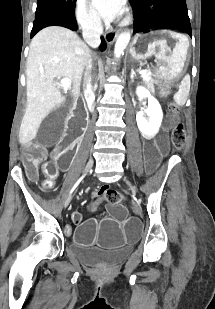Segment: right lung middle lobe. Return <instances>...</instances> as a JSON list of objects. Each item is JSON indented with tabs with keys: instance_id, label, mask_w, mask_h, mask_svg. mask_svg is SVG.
Listing matches in <instances>:
<instances>
[{
	"instance_id": "right-lung-middle-lobe-1",
	"label": "right lung middle lobe",
	"mask_w": 215,
	"mask_h": 309,
	"mask_svg": "<svg viewBox=\"0 0 215 309\" xmlns=\"http://www.w3.org/2000/svg\"><path fill=\"white\" fill-rule=\"evenodd\" d=\"M75 2L76 0H37L36 17L33 23L31 37L52 21H64L66 27L75 29Z\"/></svg>"
}]
</instances>
